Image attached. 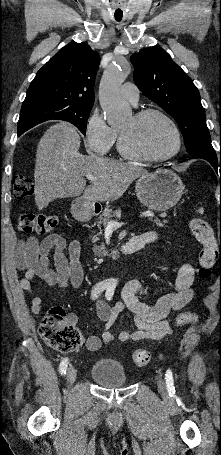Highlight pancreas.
I'll use <instances>...</instances> for the list:
<instances>
[{
  "mask_svg": "<svg viewBox=\"0 0 221 455\" xmlns=\"http://www.w3.org/2000/svg\"><path fill=\"white\" fill-rule=\"evenodd\" d=\"M120 213H121L120 209L112 210V209H110V208H106V209L104 210V212L102 213V215L99 216V218H98V220H99V221H98V228L100 229V231H102V230H101V226H102V225H103V226H107L108 221H109L111 218L115 217V216H119ZM151 221L154 222L157 226H160V227H162V226H164L165 224L168 223L167 220L161 221V220L158 219V218L151 219ZM98 240H99V238H98V236L96 235V236L93 237L92 242H93V243H96ZM93 252H94V254H96V255H102V254H104V253H105V245H104V244H102V245H100V246L94 245V246H93Z\"/></svg>",
  "mask_w": 221,
  "mask_h": 455,
  "instance_id": "pancreas-1",
  "label": "pancreas"
}]
</instances>
